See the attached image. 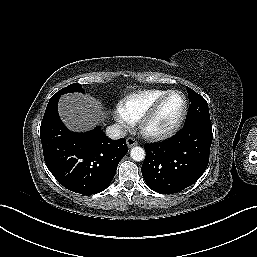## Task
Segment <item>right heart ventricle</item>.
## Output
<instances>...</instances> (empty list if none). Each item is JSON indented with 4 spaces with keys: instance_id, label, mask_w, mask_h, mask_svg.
I'll return each mask as SVG.
<instances>
[{
    "instance_id": "e07e8e85",
    "label": "right heart ventricle",
    "mask_w": 257,
    "mask_h": 257,
    "mask_svg": "<svg viewBox=\"0 0 257 257\" xmlns=\"http://www.w3.org/2000/svg\"><path fill=\"white\" fill-rule=\"evenodd\" d=\"M169 91L152 89L129 94L120 101L119 109L132 123L137 122L157 100Z\"/></svg>"
}]
</instances>
